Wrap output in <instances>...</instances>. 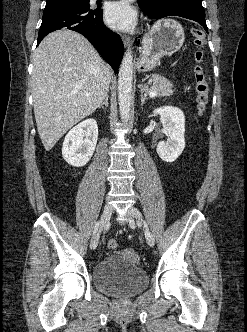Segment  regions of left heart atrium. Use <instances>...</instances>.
I'll return each instance as SVG.
<instances>
[{"mask_svg": "<svg viewBox=\"0 0 247 332\" xmlns=\"http://www.w3.org/2000/svg\"><path fill=\"white\" fill-rule=\"evenodd\" d=\"M104 16L106 23L117 30L132 28L137 19L136 11L126 0L110 2L105 8Z\"/></svg>", "mask_w": 247, "mask_h": 332, "instance_id": "left-heart-atrium-1", "label": "left heart atrium"}]
</instances>
